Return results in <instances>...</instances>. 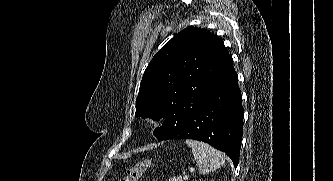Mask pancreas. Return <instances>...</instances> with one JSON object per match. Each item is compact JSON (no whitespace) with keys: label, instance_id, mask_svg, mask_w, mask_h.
Returning a JSON list of instances; mask_svg holds the SVG:
<instances>
[{"label":"pancreas","instance_id":"pancreas-1","mask_svg":"<svg viewBox=\"0 0 333 181\" xmlns=\"http://www.w3.org/2000/svg\"><path fill=\"white\" fill-rule=\"evenodd\" d=\"M169 181H183L181 176H175L173 178H170Z\"/></svg>","mask_w":333,"mask_h":181}]
</instances>
